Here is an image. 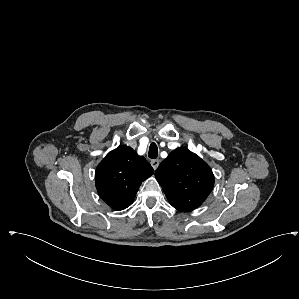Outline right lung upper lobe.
<instances>
[{"instance_id":"right-lung-upper-lobe-1","label":"right lung upper lobe","mask_w":299,"mask_h":299,"mask_svg":"<svg viewBox=\"0 0 299 299\" xmlns=\"http://www.w3.org/2000/svg\"><path fill=\"white\" fill-rule=\"evenodd\" d=\"M153 173L143 156L121 145L109 152L97 166L96 188L111 208L123 210L133 202L141 183Z\"/></svg>"}]
</instances>
